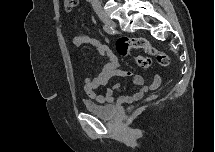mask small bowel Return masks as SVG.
Returning a JSON list of instances; mask_svg holds the SVG:
<instances>
[{
  "label": "small bowel",
  "mask_w": 215,
  "mask_h": 152,
  "mask_svg": "<svg viewBox=\"0 0 215 152\" xmlns=\"http://www.w3.org/2000/svg\"><path fill=\"white\" fill-rule=\"evenodd\" d=\"M72 44L75 47L90 45L105 60L104 68L101 72L94 78H84V89L86 93L101 103L113 102L114 100L118 103L132 102L142 98L148 91L157 89L161 84L159 75L154 77L151 84L145 85L142 76L133 74L130 71L121 70L114 52L107 44L96 38L90 37L84 33H79L73 37ZM114 77H130L132 85L136 86L137 90L131 95L116 96V92L121 90L122 85L120 83H115L112 87L107 88L104 93H99V88L105 87L110 79Z\"/></svg>",
  "instance_id": "obj_1"
}]
</instances>
